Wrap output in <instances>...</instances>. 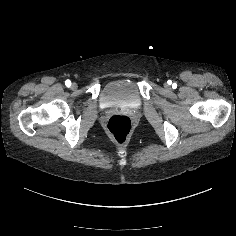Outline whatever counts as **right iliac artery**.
I'll return each instance as SVG.
<instances>
[{"instance_id":"right-iliac-artery-1","label":"right iliac artery","mask_w":236,"mask_h":236,"mask_svg":"<svg viewBox=\"0 0 236 236\" xmlns=\"http://www.w3.org/2000/svg\"><path fill=\"white\" fill-rule=\"evenodd\" d=\"M65 85H66L67 87H70V86H71V81H70V80H66V81H65Z\"/></svg>"}]
</instances>
